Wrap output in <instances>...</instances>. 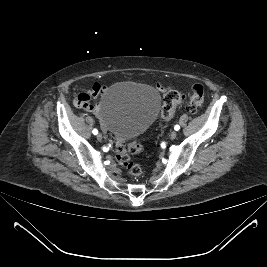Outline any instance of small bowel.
<instances>
[{
	"instance_id": "1",
	"label": "small bowel",
	"mask_w": 267,
	"mask_h": 267,
	"mask_svg": "<svg viewBox=\"0 0 267 267\" xmlns=\"http://www.w3.org/2000/svg\"><path fill=\"white\" fill-rule=\"evenodd\" d=\"M157 88L160 91L166 90V88L161 84H157ZM104 90H105L104 86H102L99 83H94L90 90L85 91V92H80L79 94H77L76 99H75V104L80 108H84L90 112L95 113L96 115H99V105L93 103V101Z\"/></svg>"
}]
</instances>
